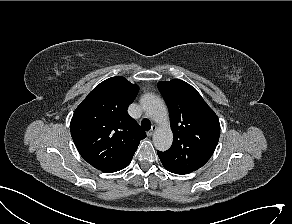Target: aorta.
I'll return each instance as SVG.
<instances>
[{"label": "aorta", "instance_id": "1", "mask_svg": "<svg viewBox=\"0 0 292 224\" xmlns=\"http://www.w3.org/2000/svg\"><path fill=\"white\" fill-rule=\"evenodd\" d=\"M141 106L147 116L160 124L153 135L155 148L159 151L168 150L173 142V134L168 122L165 103L154 94H146L141 99Z\"/></svg>", "mask_w": 292, "mask_h": 224}]
</instances>
